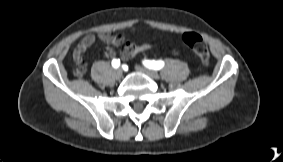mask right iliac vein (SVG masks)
<instances>
[{
  "instance_id": "obj_1",
  "label": "right iliac vein",
  "mask_w": 283,
  "mask_h": 162,
  "mask_svg": "<svg viewBox=\"0 0 283 162\" xmlns=\"http://www.w3.org/2000/svg\"><path fill=\"white\" fill-rule=\"evenodd\" d=\"M122 75H123V71H122V69H115L114 70V77L116 78V79H120L121 77H122Z\"/></svg>"
}]
</instances>
